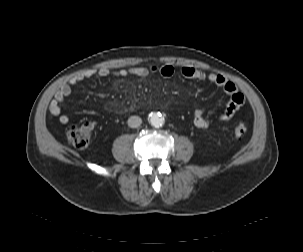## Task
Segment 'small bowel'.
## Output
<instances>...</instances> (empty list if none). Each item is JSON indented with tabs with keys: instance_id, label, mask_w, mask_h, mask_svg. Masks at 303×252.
<instances>
[{
	"instance_id": "small-bowel-1",
	"label": "small bowel",
	"mask_w": 303,
	"mask_h": 252,
	"mask_svg": "<svg viewBox=\"0 0 303 252\" xmlns=\"http://www.w3.org/2000/svg\"><path fill=\"white\" fill-rule=\"evenodd\" d=\"M180 72L184 77L192 80H208L217 87L221 88L230 97V101L228 102L224 111L215 119H210L206 117L203 109H196L192 115V121L196 127L210 128L217 126L220 123L227 122L244 104V95L238 90L237 86L233 82L229 81L226 77L215 73H205L201 70L190 67H182ZM175 73L176 68L169 63L162 65H153L149 68L143 66H135L127 69L118 70H112L109 68L86 69L72 77L68 82L62 84L58 88L50 102L49 114L52 117H57L59 122L63 125L69 123L70 118L66 113L63 112L62 102L66 97H68L72 93V88L75 85L88 78H106L110 76H134L138 78H144L147 77L149 74H159L164 77H170L173 76Z\"/></svg>"
}]
</instances>
